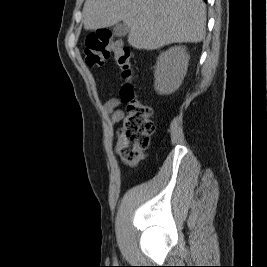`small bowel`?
<instances>
[{
    "instance_id": "1",
    "label": "small bowel",
    "mask_w": 267,
    "mask_h": 267,
    "mask_svg": "<svg viewBox=\"0 0 267 267\" xmlns=\"http://www.w3.org/2000/svg\"><path fill=\"white\" fill-rule=\"evenodd\" d=\"M119 104V99L112 97L106 100L103 105L104 112L109 117L112 124L119 122L124 117L123 111L118 109Z\"/></svg>"
}]
</instances>
